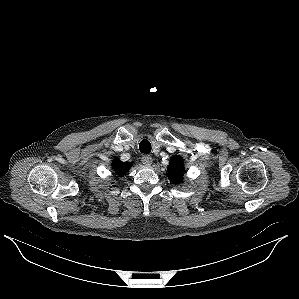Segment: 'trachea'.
I'll list each match as a JSON object with an SVG mask.
<instances>
[{
	"instance_id": "1",
	"label": "trachea",
	"mask_w": 299,
	"mask_h": 299,
	"mask_svg": "<svg viewBox=\"0 0 299 299\" xmlns=\"http://www.w3.org/2000/svg\"><path fill=\"white\" fill-rule=\"evenodd\" d=\"M139 149L141 153L149 154L151 152V144L148 140L144 139L139 144Z\"/></svg>"
}]
</instances>
